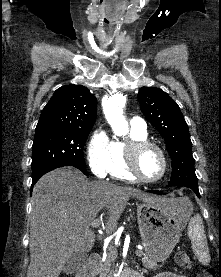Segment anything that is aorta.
Returning a JSON list of instances; mask_svg holds the SVG:
<instances>
[{"instance_id": "obj_1", "label": "aorta", "mask_w": 221, "mask_h": 277, "mask_svg": "<svg viewBox=\"0 0 221 277\" xmlns=\"http://www.w3.org/2000/svg\"><path fill=\"white\" fill-rule=\"evenodd\" d=\"M125 105V99L117 94L109 98L104 105L105 117L116 135L123 136L128 133V122L123 116L122 107Z\"/></svg>"}]
</instances>
